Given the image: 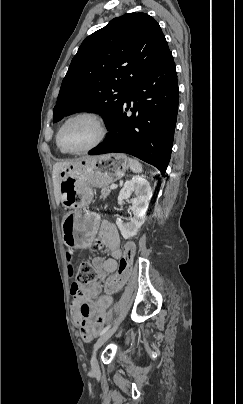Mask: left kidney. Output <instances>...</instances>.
Instances as JSON below:
<instances>
[{
	"label": "left kidney",
	"mask_w": 243,
	"mask_h": 404,
	"mask_svg": "<svg viewBox=\"0 0 243 404\" xmlns=\"http://www.w3.org/2000/svg\"><path fill=\"white\" fill-rule=\"evenodd\" d=\"M135 194L136 198L132 200L133 218H130L128 224H123L121 218H118L116 224L125 240L133 238L139 232L142 224H144L146 212L148 210L149 202L152 198L151 186L145 178L133 176L132 180L125 182L124 188L120 190L118 196V204L122 208L123 200L131 198Z\"/></svg>",
	"instance_id": "left-kidney-1"
}]
</instances>
